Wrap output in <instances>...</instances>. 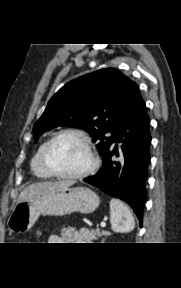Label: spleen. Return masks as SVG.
Here are the masks:
<instances>
[{
  "label": "spleen",
  "instance_id": "spleen-1",
  "mask_svg": "<svg viewBox=\"0 0 181 288\" xmlns=\"http://www.w3.org/2000/svg\"><path fill=\"white\" fill-rule=\"evenodd\" d=\"M110 223L111 229L117 233H128L135 227L131 211L118 199L110 201Z\"/></svg>",
  "mask_w": 181,
  "mask_h": 288
}]
</instances>
